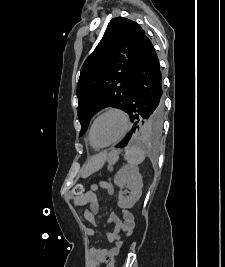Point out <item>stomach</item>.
I'll list each match as a JSON object with an SVG mask.
<instances>
[{"instance_id": "obj_1", "label": "stomach", "mask_w": 225, "mask_h": 267, "mask_svg": "<svg viewBox=\"0 0 225 267\" xmlns=\"http://www.w3.org/2000/svg\"><path fill=\"white\" fill-rule=\"evenodd\" d=\"M117 157H107L106 154H100L95 156L94 158H92L90 160V162L88 163V165L85 168V174H91L97 170H99L105 163L106 160L111 161V160H115L116 161Z\"/></svg>"}]
</instances>
